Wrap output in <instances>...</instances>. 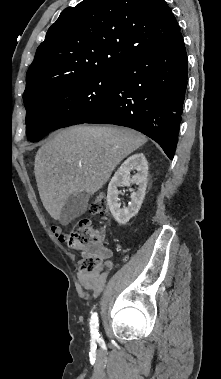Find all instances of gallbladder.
<instances>
[{
	"label": "gallbladder",
	"instance_id": "gallbladder-1",
	"mask_svg": "<svg viewBox=\"0 0 221 379\" xmlns=\"http://www.w3.org/2000/svg\"><path fill=\"white\" fill-rule=\"evenodd\" d=\"M88 200L89 194L86 192L71 195L61 209L59 221L63 225H67L73 219L82 215L86 211Z\"/></svg>",
	"mask_w": 221,
	"mask_h": 379
}]
</instances>
